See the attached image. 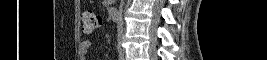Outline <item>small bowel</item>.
<instances>
[{
  "mask_svg": "<svg viewBox=\"0 0 267 60\" xmlns=\"http://www.w3.org/2000/svg\"><path fill=\"white\" fill-rule=\"evenodd\" d=\"M91 47V42L90 41H84L83 42V49L87 52Z\"/></svg>",
  "mask_w": 267,
  "mask_h": 60,
  "instance_id": "obj_1",
  "label": "small bowel"
}]
</instances>
